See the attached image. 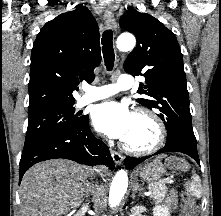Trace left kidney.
I'll use <instances>...</instances> for the list:
<instances>
[{"label":"left kidney","instance_id":"1","mask_svg":"<svg viewBox=\"0 0 221 216\" xmlns=\"http://www.w3.org/2000/svg\"><path fill=\"white\" fill-rule=\"evenodd\" d=\"M153 215L154 216H170L168 208L161 205H156L153 208Z\"/></svg>","mask_w":221,"mask_h":216}]
</instances>
